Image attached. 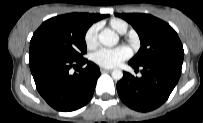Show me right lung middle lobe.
Returning a JSON list of instances; mask_svg holds the SVG:
<instances>
[{"instance_id": "obj_1", "label": "right lung middle lobe", "mask_w": 203, "mask_h": 123, "mask_svg": "<svg viewBox=\"0 0 203 123\" xmlns=\"http://www.w3.org/2000/svg\"><path fill=\"white\" fill-rule=\"evenodd\" d=\"M91 26L81 13H71L53 17L33 34L29 54L45 53L79 60L87 52L84 40Z\"/></svg>"}]
</instances>
